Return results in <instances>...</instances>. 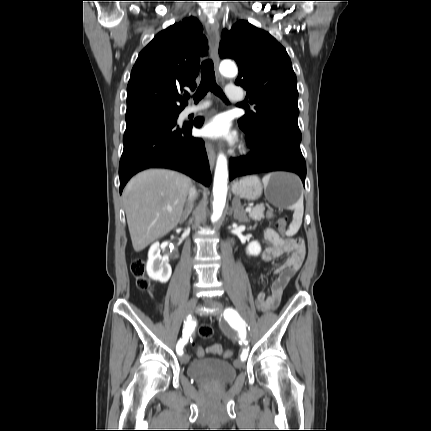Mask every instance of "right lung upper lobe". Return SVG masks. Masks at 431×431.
<instances>
[{
  "label": "right lung upper lobe",
  "mask_w": 431,
  "mask_h": 431,
  "mask_svg": "<svg viewBox=\"0 0 431 431\" xmlns=\"http://www.w3.org/2000/svg\"><path fill=\"white\" fill-rule=\"evenodd\" d=\"M201 33L202 26L191 17L158 33L140 52L127 86L126 122L184 109L181 93L185 87L196 88L205 54Z\"/></svg>",
  "instance_id": "cb5924a9"
}]
</instances>
